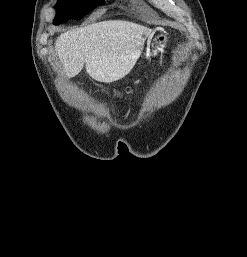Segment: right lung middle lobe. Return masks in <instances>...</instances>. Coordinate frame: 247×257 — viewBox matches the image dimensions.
<instances>
[{"mask_svg":"<svg viewBox=\"0 0 247 257\" xmlns=\"http://www.w3.org/2000/svg\"><path fill=\"white\" fill-rule=\"evenodd\" d=\"M104 0H58L54 24L58 25L69 18L80 19Z\"/></svg>","mask_w":247,"mask_h":257,"instance_id":"1","label":"right lung middle lobe"}]
</instances>
